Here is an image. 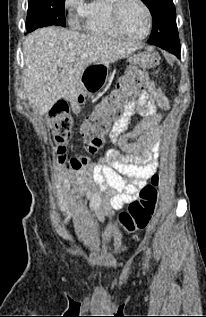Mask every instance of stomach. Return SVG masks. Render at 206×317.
I'll return each mask as SVG.
<instances>
[{
	"label": "stomach",
	"instance_id": "stomach-1",
	"mask_svg": "<svg viewBox=\"0 0 206 317\" xmlns=\"http://www.w3.org/2000/svg\"><path fill=\"white\" fill-rule=\"evenodd\" d=\"M141 57H151V54L148 52L131 53L128 56L129 63H124L123 69L145 65L140 63ZM103 63V60L96 59L83 72H80L78 86L81 94H107L108 91L114 90L118 73L115 68H110L109 65H103ZM79 100L83 102L84 97L80 96Z\"/></svg>",
	"mask_w": 206,
	"mask_h": 317
}]
</instances>
